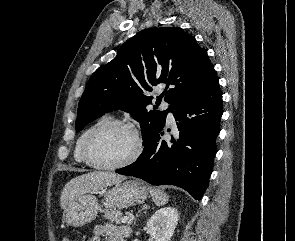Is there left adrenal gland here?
I'll use <instances>...</instances> for the list:
<instances>
[{"label":"left adrenal gland","instance_id":"left-adrenal-gland-1","mask_svg":"<svg viewBox=\"0 0 295 241\" xmlns=\"http://www.w3.org/2000/svg\"><path fill=\"white\" fill-rule=\"evenodd\" d=\"M149 208H150V206H149V205H146V204L142 206L141 210H139L138 213L136 214V216L133 218V222H134V224H135V222H136V219H137V217H138V214H139L142 210H146V209H149Z\"/></svg>","mask_w":295,"mask_h":241}]
</instances>
